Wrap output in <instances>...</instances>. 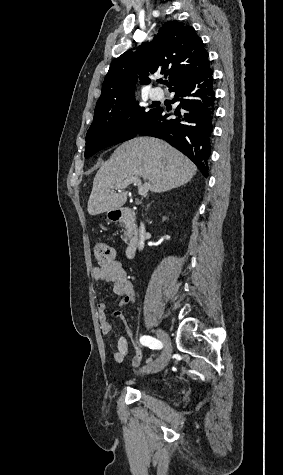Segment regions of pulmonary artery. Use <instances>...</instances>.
I'll use <instances>...</instances> for the list:
<instances>
[{
  "label": "pulmonary artery",
  "instance_id": "pulmonary-artery-1",
  "mask_svg": "<svg viewBox=\"0 0 283 475\" xmlns=\"http://www.w3.org/2000/svg\"><path fill=\"white\" fill-rule=\"evenodd\" d=\"M150 92L152 96H161L163 91L161 87H152Z\"/></svg>",
  "mask_w": 283,
  "mask_h": 475
}]
</instances>
